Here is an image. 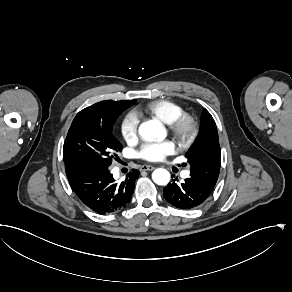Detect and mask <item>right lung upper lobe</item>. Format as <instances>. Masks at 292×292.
I'll list each match as a JSON object with an SVG mask.
<instances>
[{
    "label": "right lung upper lobe",
    "mask_w": 292,
    "mask_h": 292,
    "mask_svg": "<svg viewBox=\"0 0 292 292\" xmlns=\"http://www.w3.org/2000/svg\"><path fill=\"white\" fill-rule=\"evenodd\" d=\"M136 102V100H132V101H114V102H118V103H120V104H131V103H133V102Z\"/></svg>",
    "instance_id": "1"
}]
</instances>
